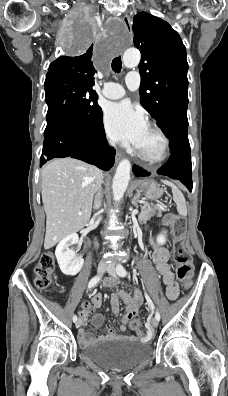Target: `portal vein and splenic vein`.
Instances as JSON below:
<instances>
[{"instance_id":"18ae733b","label":"portal vein and splenic vein","mask_w":228,"mask_h":396,"mask_svg":"<svg viewBox=\"0 0 228 396\" xmlns=\"http://www.w3.org/2000/svg\"><path fill=\"white\" fill-rule=\"evenodd\" d=\"M141 203H143V201H141ZM83 213L81 211L78 212V215H82Z\"/></svg>"}]
</instances>
